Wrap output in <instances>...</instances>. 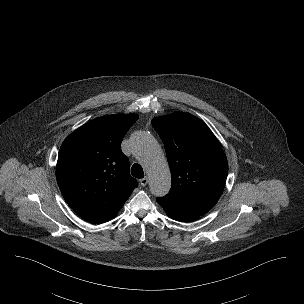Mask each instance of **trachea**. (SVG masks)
Listing matches in <instances>:
<instances>
[{"label":"trachea","mask_w":304,"mask_h":304,"mask_svg":"<svg viewBox=\"0 0 304 304\" xmlns=\"http://www.w3.org/2000/svg\"><path fill=\"white\" fill-rule=\"evenodd\" d=\"M131 173H132V176L136 177V178H143L144 177V172H143V169L142 167L135 163L132 168H131Z\"/></svg>","instance_id":"trachea-1"}]
</instances>
